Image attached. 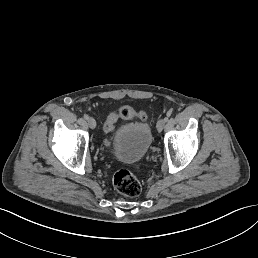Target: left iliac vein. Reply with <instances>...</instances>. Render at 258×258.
I'll return each mask as SVG.
<instances>
[{"mask_svg": "<svg viewBox=\"0 0 258 258\" xmlns=\"http://www.w3.org/2000/svg\"><path fill=\"white\" fill-rule=\"evenodd\" d=\"M157 123H158V124H157L156 127H157V129H158V132H163V129H164L165 125H166V124H165V123H166L165 120L161 118V119L158 120Z\"/></svg>", "mask_w": 258, "mask_h": 258, "instance_id": "1", "label": "left iliac vein"}]
</instances>
